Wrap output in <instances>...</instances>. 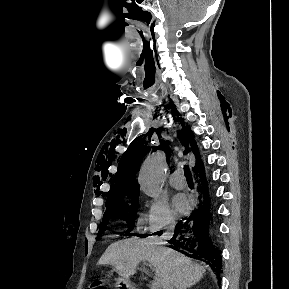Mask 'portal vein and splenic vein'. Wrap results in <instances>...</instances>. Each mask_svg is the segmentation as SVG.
Here are the masks:
<instances>
[{
	"mask_svg": "<svg viewBox=\"0 0 289 289\" xmlns=\"http://www.w3.org/2000/svg\"><path fill=\"white\" fill-rule=\"evenodd\" d=\"M159 288H160V284L158 282V279H155L151 284V289H159Z\"/></svg>",
	"mask_w": 289,
	"mask_h": 289,
	"instance_id": "1",
	"label": "portal vein and splenic vein"
}]
</instances>
